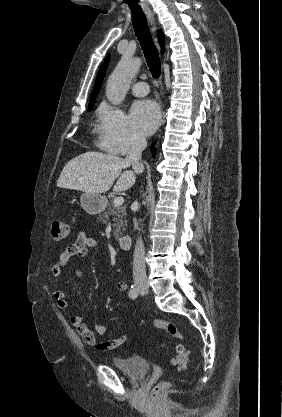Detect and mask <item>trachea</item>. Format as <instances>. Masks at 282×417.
Masks as SVG:
<instances>
[{
  "label": "trachea",
  "instance_id": "obj_1",
  "mask_svg": "<svg viewBox=\"0 0 282 417\" xmlns=\"http://www.w3.org/2000/svg\"><path fill=\"white\" fill-rule=\"evenodd\" d=\"M132 25L136 37L138 38L149 70L154 78H159L161 72V62L158 50L152 40L147 19L142 10H132Z\"/></svg>",
  "mask_w": 282,
  "mask_h": 417
}]
</instances>
